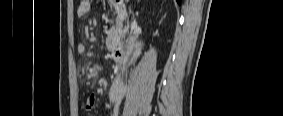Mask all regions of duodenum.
<instances>
[{"mask_svg": "<svg viewBox=\"0 0 283 116\" xmlns=\"http://www.w3.org/2000/svg\"><path fill=\"white\" fill-rule=\"evenodd\" d=\"M116 13L120 19H124L127 15V9L124 5L118 4L115 6ZM112 57L120 64H126L129 62L126 56V50L122 44H118L112 51ZM114 86L125 87L126 84L121 79H116Z\"/></svg>", "mask_w": 283, "mask_h": 116, "instance_id": "obj_1", "label": "duodenum"}]
</instances>
